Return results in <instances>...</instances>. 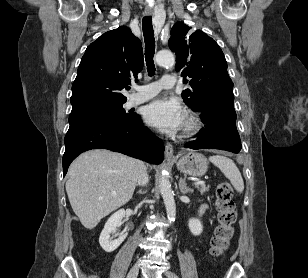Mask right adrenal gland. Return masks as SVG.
<instances>
[{"label": "right adrenal gland", "mask_w": 308, "mask_h": 278, "mask_svg": "<svg viewBox=\"0 0 308 278\" xmlns=\"http://www.w3.org/2000/svg\"><path fill=\"white\" fill-rule=\"evenodd\" d=\"M137 193H138V194H140V195H143V194H145V193H146V191H145V190L140 189Z\"/></svg>", "instance_id": "obj_1"}]
</instances>
